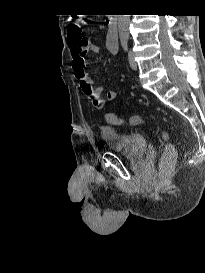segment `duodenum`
<instances>
[{"label": "duodenum", "instance_id": "obj_1", "mask_svg": "<svg viewBox=\"0 0 205 273\" xmlns=\"http://www.w3.org/2000/svg\"><path fill=\"white\" fill-rule=\"evenodd\" d=\"M106 24L107 26L109 27V29L115 33V36L117 37L116 35V29H117V17L115 15H110L107 17L106 19Z\"/></svg>", "mask_w": 205, "mask_h": 273}]
</instances>
